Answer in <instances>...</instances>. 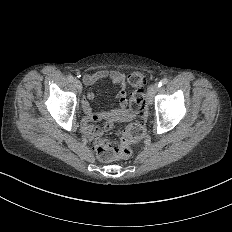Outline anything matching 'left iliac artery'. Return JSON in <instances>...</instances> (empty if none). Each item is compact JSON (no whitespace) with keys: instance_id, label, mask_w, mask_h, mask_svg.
I'll return each instance as SVG.
<instances>
[{"instance_id":"left-iliac-artery-1","label":"left iliac artery","mask_w":232,"mask_h":232,"mask_svg":"<svg viewBox=\"0 0 232 232\" xmlns=\"http://www.w3.org/2000/svg\"><path fill=\"white\" fill-rule=\"evenodd\" d=\"M168 83V79L167 78H163L159 83H158V87H162L164 85H166Z\"/></svg>"}]
</instances>
